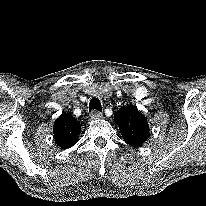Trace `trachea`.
Instances as JSON below:
<instances>
[{"label":"trachea","mask_w":206,"mask_h":206,"mask_svg":"<svg viewBox=\"0 0 206 206\" xmlns=\"http://www.w3.org/2000/svg\"><path fill=\"white\" fill-rule=\"evenodd\" d=\"M102 111V106H101V102L98 98L96 97H93L91 100H90V103H89V112L91 111Z\"/></svg>","instance_id":"obj_1"}]
</instances>
